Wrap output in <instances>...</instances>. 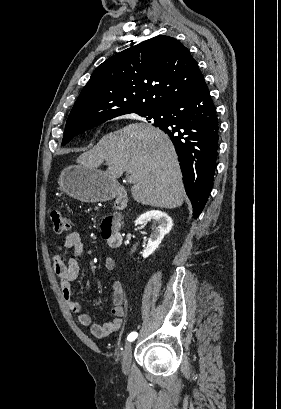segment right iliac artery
<instances>
[{"label":"right iliac artery","instance_id":"right-iliac-artery-1","mask_svg":"<svg viewBox=\"0 0 281 409\" xmlns=\"http://www.w3.org/2000/svg\"><path fill=\"white\" fill-rule=\"evenodd\" d=\"M137 336H138V334H137L136 332H131V333L128 335L127 339H128V341H133L134 339L137 338Z\"/></svg>","mask_w":281,"mask_h":409}]
</instances>
